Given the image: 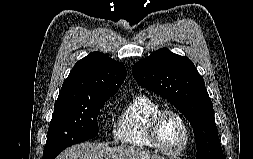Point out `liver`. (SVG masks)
I'll return each mask as SVG.
<instances>
[{
  "label": "liver",
  "instance_id": "6515ba94",
  "mask_svg": "<svg viewBox=\"0 0 253 159\" xmlns=\"http://www.w3.org/2000/svg\"><path fill=\"white\" fill-rule=\"evenodd\" d=\"M56 159H166L141 148L110 147L101 143H80L65 149Z\"/></svg>",
  "mask_w": 253,
  "mask_h": 159
}]
</instances>
